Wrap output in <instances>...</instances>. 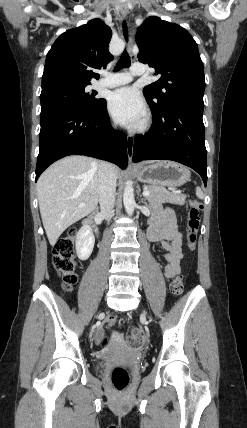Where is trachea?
I'll list each match as a JSON object with an SVG mask.
<instances>
[{"label":"trachea","mask_w":247,"mask_h":428,"mask_svg":"<svg viewBox=\"0 0 247 428\" xmlns=\"http://www.w3.org/2000/svg\"><path fill=\"white\" fill-rule=\"evenodd\" d=\"M123 30H124V37L126 41L128 40V32H127V26L126 22H123ZM130 65V56L127 51H124L121 55L119 61L117 62V65L115 67V70H120L122 68L128 67Z\"/></svg>","instance_id":"1"}]
</instances>
